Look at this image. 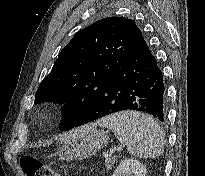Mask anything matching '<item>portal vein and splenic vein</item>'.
<instances>
[{"label":"portal vein and splenic vein","instance_id":"portal-vein-and-splenic-vein-1","mask_svg":"<svg viewBox=\"0 0 205 176\" xmlns=\"http://www.w3.org/2000/svg\"><path fill=\"white\" fill-rule=\"evenodd\" d=\"M115 150H116L115 148H111L110 149V154H113L115 152Z\"/></svg>","mask_w":205,"mask_h":176}]
</instances>
